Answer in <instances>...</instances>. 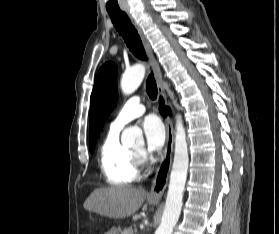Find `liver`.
Here are the masks:
<instances>
[{"instance_id": "obj_1", "label": "liver", "mask_w": 279, "mask_h": 234, "mask_svg": "<svg viewBox=\"0 0 279 234\" xmlns=\"http://www.w3.org/2000/svg\"><path fill=\"white\" fill-rule=\"evenodd\" d=\"M147 192L130 186L95 189L84 202V208L109 218L133 215L144 203Z\"/></svg>"}]
</instances>
